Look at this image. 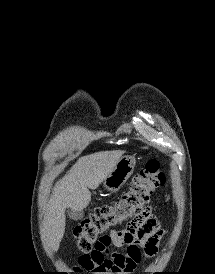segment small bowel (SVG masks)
I'll return each mask as SVG.
<instances>
[{
  "label": "small bowel",
  "instance_id": "1",
  "mask_svg": "<svg viewBox=\"0 0 215 274\" xmlns=\"http://www.w3.org/2000/svg\"><path fill=\"white\" fill-rule=\"evenodd\" d=\"M162 236L160 225L147 207L143 214L121 231L111 230L104 235L93 249L78 258L75 272L93 274H134L142 258L154 256ZM111 247L119 249L111 250Z\"/></svg>",
  "mask_w": 215,
  "mask_h": 274
}]
</instances>
